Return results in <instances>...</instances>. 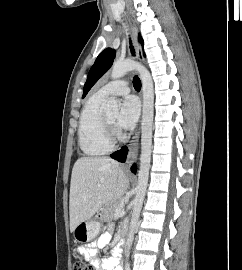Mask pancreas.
<instances>
[{
	"instance_id": "obj_1",
	"label": "pancreas",
	"mask_w": 242,
	"mask_h": 270,
	"mask_svg": "<svg viewBox=\"0 0 242 270\" xmlns=\"http://www.w3.org/2000/svg\"><path fill=\"white\" fill-rule=\"evenodd\" d=\"M124 205L123 201L117 200V201H113L110 203H107L104 207H103V219L105 221H109L110 219H112L115 216V210L117 207Z\"/></svg>"
}]
</instances>
